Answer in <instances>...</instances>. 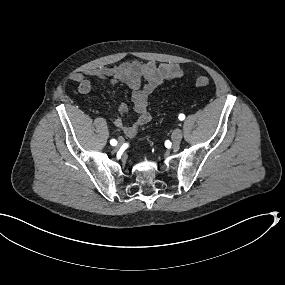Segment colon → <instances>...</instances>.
Segmentation results:
<instances>
[{
	"label": "colon",
	"instance_id": "1",
	"mask_svg": "<svg viewBox=\"0 0 285 285\" xmlns=\"http://www.w3.org/2000/svg\"><path fill=\"white\" fill-rule=\"evenodd\" d=\"M210 84H211L210 79L204 76H200L194 80V85L196 87H208L210 86Z\"/></svg>",
	"mask_w": 285,
	"mask_h": 285
}]
</instances>
